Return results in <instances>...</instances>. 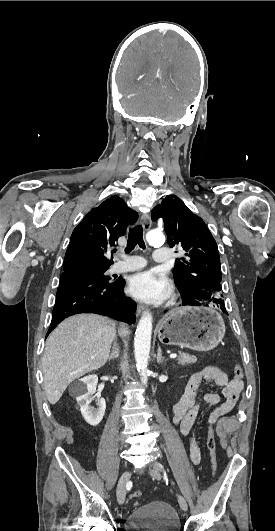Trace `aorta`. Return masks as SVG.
<instances>
[{
	"label": "aorta",
	"mask_w": 275,
	"mask_h": 531,
	"mask_svg": "<svg viewBox=\"0 0 275 531\" xmlns=\"http://www.w3.org/2000/svg\"><path fill=\"white\" fill-rule=\"evenodd\" d=\"M162 233L158 231H150L146 235L148 243H157L161 239ZM152 335V315L146 313L142 315L136 329L134 339V355L136 361L137 371L140 375L141 383L146 385L148 381V359L151 347Z\"/></svg>",
	"instance_id": "1"
}]
</instances>
